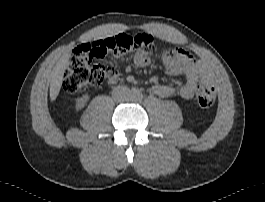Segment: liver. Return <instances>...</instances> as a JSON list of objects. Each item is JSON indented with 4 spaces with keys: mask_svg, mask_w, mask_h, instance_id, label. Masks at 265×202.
Wrapping results in <instances>:
<instances>
[{
    "mask_svg": "<svg viewBox=\"0 0 265 202\" xmlns=\"http://www.w3.org/2000/svg\"><path fill=\"white\" fill-rule=\"evenodd\" d=\"M69 60V54L62 56L59 61L56 63L52 74H51V82H50V99L54 101L57 96L59 95L62 81H63V74L67 68Z\"/></svg>",
    "mask_w": 265,
    "mask_h": 202,
    "instance_id": "6515ba94",
    "label": "liver"
}]
</instances>
